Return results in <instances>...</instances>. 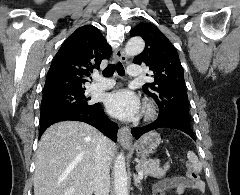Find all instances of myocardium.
<instances>
[{"instance_id":"myocardium-1","label":"myocardium","mask_w":240,"mask_h":195,"mask_svg":"<svg viewBox=\"0 0 240 195\" xmlns=\"http://www.w3.org/2000/svg\"><path fill=\"white\" fill-rule=\"evenodd\" d=\"M155 115H156L155 105L150 101H146L142 108L143 121H145V122L150 121L155 117Z\"/></svg>"}]
</instances>
